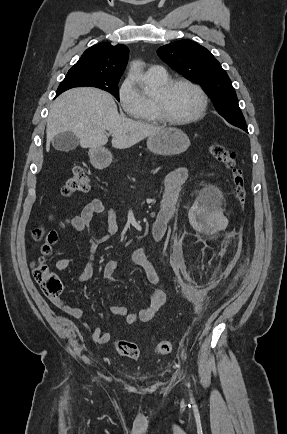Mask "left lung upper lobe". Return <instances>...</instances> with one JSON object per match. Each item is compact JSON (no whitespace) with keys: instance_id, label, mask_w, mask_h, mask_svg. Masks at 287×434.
Returning a JSON list of instances; mask_svg holds the SVG:
<instances>
[{"instance_id":"1","label":"left lung upper lobe","mask_w":287,"mask_h":434,"mask_svg":"<svg viewBox=\"0 0 287 434\" xmlns=\"http://www.w3.org/2000/svg\"><path fill=\"white\" fill-rule=\"evenodd\" d=\"M159 57L187 79L203 86L218 113L231 124H246L227 73L206 48L190 40L160 47Z\"/></svg>"}]
</instances>
